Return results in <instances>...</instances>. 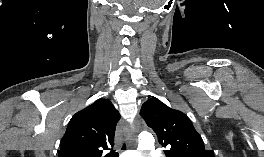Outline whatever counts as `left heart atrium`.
<instances>
[{
  "instance_id": "39dd6f15",
  "label": "left heart atrium",
  "mask_w": 264,
  "mask_h": 157,
  "mask_svg": "<svg viewBox=\"0 0 264 157\" xmlns=\"http://www.w3.org/2000/svg\"><path fill=\"white\" fill-rule=\"evenodd\" d=\"M122 157H137V156H133V155H123Z\"/></svg>"
}]
</instances>
